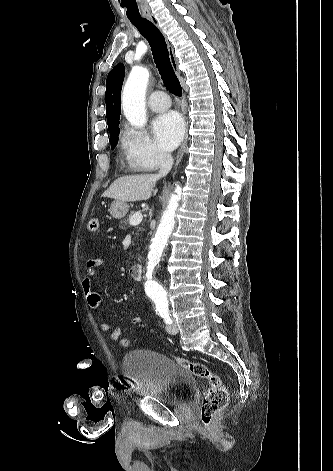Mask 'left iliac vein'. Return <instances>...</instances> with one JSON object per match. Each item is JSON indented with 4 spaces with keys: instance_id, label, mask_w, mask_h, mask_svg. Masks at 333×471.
<instances>
[{
    "instance_id": "1",
    "label": "left iliac vein",
    "mask_w": 333,
    "mask_h": 471,
    "mask_svg": "<svg viewBox=\"0 0 333 471\" xmlns=\"http://www.w3.org/2000/svg\"><path fill=\"white\" fill-rule=\"evenodd\" d=\"M166 330L169 334H177L178 333V327L175 323L169 324L166 327Z\"/></svg>"
}]
</instances>
